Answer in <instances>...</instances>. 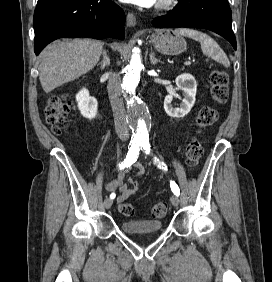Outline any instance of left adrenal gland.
<instances>
[{
  "mask_svg": "<svg viewBox=\"0 0 272 282\" xmlns=\"http://www.w3.org/2000/svg\"><path fill=\"white\" fill-rule=\"evenodd\" d=\"M150 62L153 65H155L156 63H163V61L155 57V53L153 51L150 52Z\"/></svg>",
  "mask_w": 272,
  "mask_h": 282,
  "instance_id": "1",
  "label": "left adrenal gland"
}]
</instances>
